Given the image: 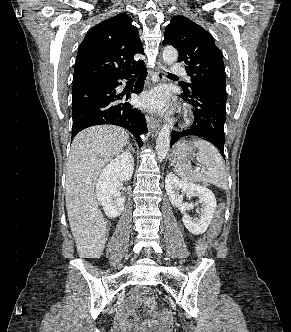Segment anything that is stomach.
Here are the masks:
<instances>
[{
    "instance_id": "1",
    "label": "stomach",
    "mask_w": 291,
    "mask_h": 332,
    "mask_svg": "<svg viewBox=\"0 0 291 332\" xmlns=\"http://www.w3.org/2000/svg\"><path fill=\"white\" fill-rule=\"evenodd\" d=\"M193 146L186 141H179L172 150L171 162L174 165L188 164L193 157Z\"/></svg>"
}]
</instances>
